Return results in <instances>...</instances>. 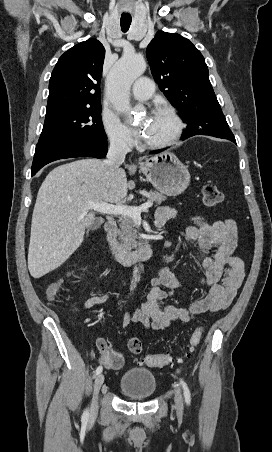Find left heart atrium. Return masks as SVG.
I'll use <instances>...</instances> for the list:
<instances>
[{"label":"left heart atrium","mask_w":272,"mask_h":452,"mask_svg":"<svg viewBox=\"0 0 272 452\" xmlns=\"http://www.w3.org/2000/svg\"><path fill=\"white\" fill-rule=\"evenodd\" d=\"M145 131V124L141 125L139 128L136 129L137 134L142 135Z\"/></svg>","instance_id":"1"}]
</instances>
